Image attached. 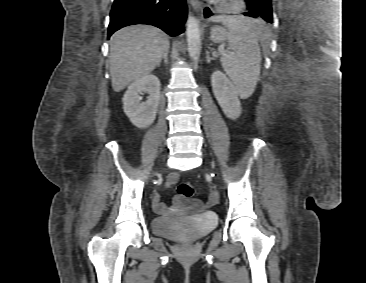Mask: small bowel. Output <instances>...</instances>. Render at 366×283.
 <instances>
[{
	"label": "small bowel",
	"instance_id": "c3829d8e",
	"mask_svg": "<svg viewBox=\"0 0 366 283\" xmlns=\"http://www.w3.org/2000/svg\"><path fill=\"white\" fill-rule=\"evenodd\" d=\"M178 179H179L178 173L171 174L170 177L168 178L167 186L169 187L174 185L178 181ZM154 206L156 210L160 213H167L169 211L167 205L161 202L160 197L158 195L154 197Z\"/></svg>",
	"mask_w": 366,
	"mask_h": 283
}]
</instances>
